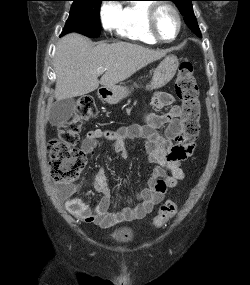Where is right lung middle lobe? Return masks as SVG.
<instances>
[{
    "label": "right lung middle lobe",
    "instance_id": "1",
    "mask_svg": "<svg viewBox=\"0 0 250 285\" xmlns=\"http://www.w3.org/2000/svg\"><path fill=\"white\" fill-rule=\"evenodd\" d=\"M73 1L69 19L62 34L78 32L91 38L100 36V5L103 0Z\"/></svg>",
    "mask_w": 250,
    "mask_h": 285
}]
</instances>
